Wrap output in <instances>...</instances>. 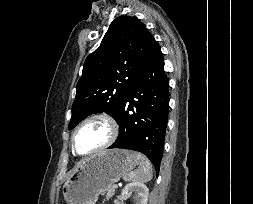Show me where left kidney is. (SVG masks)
<instances>
[{
  "label": "left kidney",
  "instance_id": "left-kidney-1",
  "mask_svg": "<svg viewBox=\"0 0 253 204\" xmlns=\"http://www.w3.org/2000/svg\"><path fill=\"white\" fill-rule=\"evenodd\" d=\"M134 192L135 204H147L149 189L142 182L127 184L121 192L122 198H128Z\"/></svg>",
  "mask_w": 253,
  "mask_h": 204
}]
</instances>
